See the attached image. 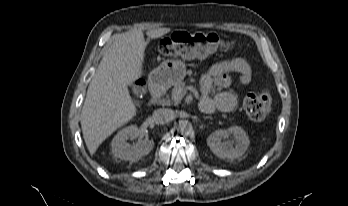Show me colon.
<instances>
[{
    "label": "colon",
    "instance_id": "1",
    "mask_svg": "<svg viewBox=\"0 0 348 206\" xmlns=\"http://www.w3.org/2000/svg\"><path fill=\"white\" fill-rule=\"evenodd\" d=\"M201 36L206 42L219 48L227 45V40L214 33H191L185 31L175 32L162 40L159 52L166 57H180L190 54V46ZM139 90L143 89L144 81L138 79L135 82ZM272 98L268 90L262 89L247 94L243 100V108L248 117L253 121L263 120L271 109Z\"/></svg>",
    "mask_w": 348,
    "mask_h": 206
}]
</instances>
